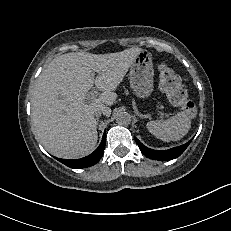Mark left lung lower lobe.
I'll return each instance as SVG.
<instances>
[{
  "mask_svg": "<svg viewBox=\"0 0 231 231\" xmlns=\"http://www.w3.org/2000/svg\"><path fill=\"white\" fill-rule=\"evenodd\" d=\"M135 141L137 143V145L139 146L141 152L148 158L150 159H154V160H162V161H167V160H172L174 158H177L178 156H180L184 150L188 147V145L190 144L191 141L187 142L184 145L172 148V149H168V150H164V151H158V150H153L150 149L146 146H144L136 137Z\"/></svg>",
  "mask_w": 231,
  "mask_h": 231,
  "instance_id": "left-lung-lower-lobe-1",
  "label": "left lung lower lobe"
}]
</instances>
